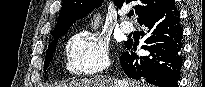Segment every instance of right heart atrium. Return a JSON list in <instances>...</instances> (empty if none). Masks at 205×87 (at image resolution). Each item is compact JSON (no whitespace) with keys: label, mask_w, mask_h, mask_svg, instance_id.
Instances as JSON below:
<instances>
[{"label":"right heart atrium","mask_w":205,"mask_h":87,"mask_svg":"<svg viewBox=\"0 0 205 87\" xmlns=\"http://www.w3.org/2000/svg\"><path fill=\"white\" fill-rule=\"evenodd\" d=\"M65 54L66 69L76 75L99 74L110 65L107 42L90 32L73 35L66 44Z\"/></svg>","instance_id":"d8ad5b80"}]
</instances>
